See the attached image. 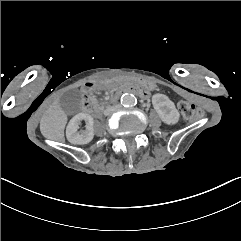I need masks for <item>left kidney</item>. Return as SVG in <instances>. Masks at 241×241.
I'll list each match as a JSON object with an SVG mask.
<instances>
[{
    "label": "left kidney",
    "instance_id": "left-kidney-1",
    "mask_svg": "<svg viewBox=\"0 0 241 241\" xmlns=\"http://www.w3.org/2000/svg\"><path fill=\"white\" fill-rule=\"evenodd\" d=\"M152 104L161 120L166 124H176L180 114L174 103L164 94L152 96Z\"/></svg>",
    "mask_w": 241,
    "mask_h": 241
}]
</instances>
